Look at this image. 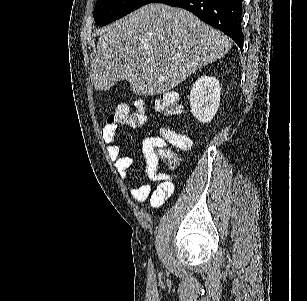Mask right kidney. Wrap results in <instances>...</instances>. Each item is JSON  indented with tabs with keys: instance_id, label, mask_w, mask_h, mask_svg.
I'll return each instance as SVG.
<instances>
[{
	"instance_id": "1",
	"label": "right kidney",
	"mask_w": 307,
	"mask_h": 301,
	"mask_svg": "<svg viewBox=\"0 0 307 301\" xmlns=\"http://www.w3.org/2000/svg\"><path fill=\"white\" fill-rule=\"evenodd\" d=\"M221 86L216 76L202 74L195 80L189 94L190 108L199 122H210L220 104Z\"/></svg>"
}]
</instances>
